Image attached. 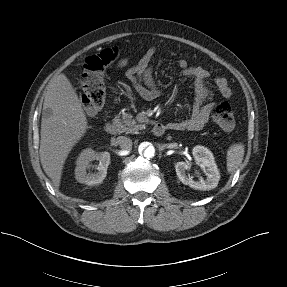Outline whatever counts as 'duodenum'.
<instances>
[{"label":"duodenum","instance_id":"1","mask_svg":"<svg viewBox=\"0 0 287 287\" xmlns=\"http://www.w3.org/2000/svg\"><path fill=\"white\" fill-rule=\"evenodd\" d=\"M105 130L112 135H116L120 131L118 125L113 121L106 122ZM152 131L155 136H162L165 132V126L162 123H155Z\"/></svg>","mask_w":287,"mask_h":287}]
</instances>
